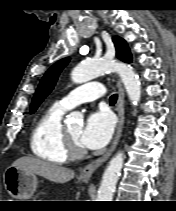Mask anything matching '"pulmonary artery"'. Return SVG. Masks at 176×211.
I'll return each instance as SVG.
<instances>
[{
    "label": "pulmonary artery",
    "mask_w": 176,
    "mask_h": 211,
    "mask_svg": "<svg viewBox=\"0 0 176 211\" xmlns=\"http://www.w3.org/2000/svg\"><path fill=\"white\" fill-rule=\"evenodd\" d=\"M104 95V87L100 82H90L77 87L58 101L64 109L69 110L75 106L95 101Z\"/></svg>",
    "instance_id": "e3ab8cb5"
}]
</instances>
